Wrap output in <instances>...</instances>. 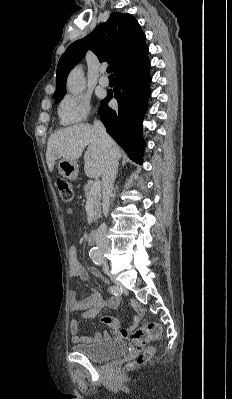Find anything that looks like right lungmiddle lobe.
<instances>
[{
	"label": "right lung middle lobe",
	"mask_w": 232,
	"mask_h": 399,
	"mask_svg": "<svg viewBox=\"0 0 232 399\" xmlns=\"http://www.w3.org/2000/svg\"><path fill=\"white\" fill-rule=\"evenodd\" d=\"M65 93L63 94H58V95H54V98H57V101H59L60 99H62V97L64 96Z\"/></svg>",
	"instance_id": "right-lung-middle-lobe-1"
}]
</instances>
